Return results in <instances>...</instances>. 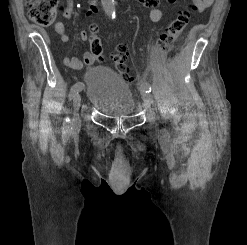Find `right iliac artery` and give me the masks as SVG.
I'll return each instance as SVG.
<instances>
[{
  "label": "right iliac artery",
  "instance_id": "right-iliac-artery-1",
  "mask_svg": "<svg viewBox=\"0 0 247 245\" xmlns=\"http://www.w3.org/2000/svg\"><path fill=\"white\" fill-rule=\"evenodd\" d=\"M83 83L82 82H77L76 84H74L71 87L70 93H69V100H72V98L74 97L75 94L79 93L82 89H83ZM70 126H71V120L69 117H66L64 120V124H63V129L65 131L70 130Z\"/></svg>",
  "mask_w": 247,
  "mask_h": 245
}]
</instances>
